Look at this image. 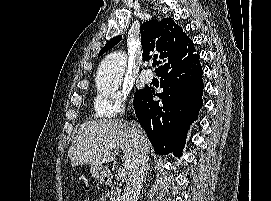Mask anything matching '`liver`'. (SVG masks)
Listing matches in <instances>:
<instances>
[{
	"instance_id": "obj_1",
	"label": "liver",
	"mask_w": 271,
	"mask_h": 201,
	"mask_svg": "<svg viewBox=\"0 0 271 201\" xmlns=\"http://www.w3.org/2000/svg\"><path fill=\"white\" fill-rule=\"evenodd\" d=\"M122 150V162L128 172L137 150L129 122L122 119L88 121L80 126L69 148L68 156L73 167L81 164L102 165L112 162L116 153L111 147ZM151 145L148 144V151Z\"/></svg>"
}]
</instances>
